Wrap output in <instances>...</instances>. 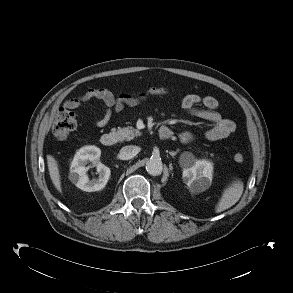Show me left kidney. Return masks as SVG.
<instances>
[{
  "instance_id": "left-kidney-1",
  "label": "left kidney",
  "mask_w": 293,
  "mask_h": 293,
  "mask_svg": "<svg viewBox=\"0 0 293 293\" xmlns=\"http://www.w3.org/2000/svg\"><path fill=\"white\" fill-rule=\"evenodd\" d=\"M213 166L207 160L193 159L183 167V181L192 193H200L208 189L212 182Z\"/></svg>"
}]
</instances>
